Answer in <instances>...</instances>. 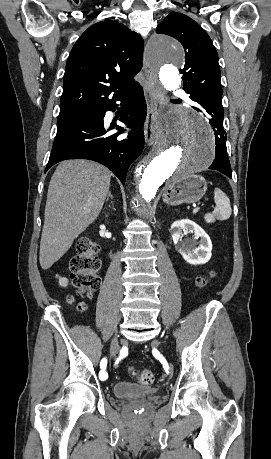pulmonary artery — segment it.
<instances>
[{
  "mask_svg": "<svg viewBox=\"0 0 271 459\" xmlns=\"http://www.w3.org/2000/svg\"><path fill=\"white\" fill-rule=\"evenodd\" d=\"M176 95L178 97H182V98H185L187 96V93L185 91H182V90H178L176 92ZM183 103L186 105V106H193V108L195 110H201L203 108V103L201 101H196V99L194 97H186L184 100H183ZM111 117V112L108 111L106 112L105 114V120L108 121Z\"/></svg>",
  "mask_w": 271,
  "mask_h": 459,
  "instance_id": "obj_1",
  "label": "pulmonary artery"
}]
</instances>
